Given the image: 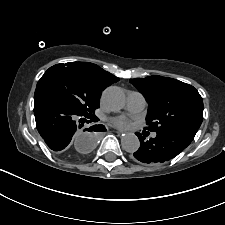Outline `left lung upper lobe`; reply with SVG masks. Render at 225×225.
<instances>
[{
  "mask_svg": "<svg viewBox=\"0 0 225 225\" xmlns=\"http://www.w3.org/2000/svg\"><path fill=\"white\" fill-rule=\"evenodd\" d=\"M130 82L148 102L146 130L159 133L182 127H200L203 101L193 86L162 76L136 78Z\"/></svg>",
  "mask_w": 225,
  "mask_h": 225,
  "instance_id": "obj_1",
  "label": "left lung upper lobe"
}]
</instances>
